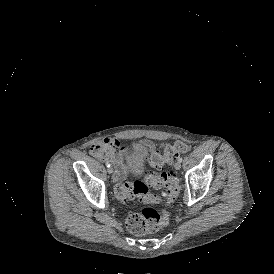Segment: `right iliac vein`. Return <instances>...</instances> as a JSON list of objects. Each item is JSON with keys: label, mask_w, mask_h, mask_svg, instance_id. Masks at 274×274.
I'll use <instances>...</instances> for the list:
<instances>
[{"label": "right iliac vein", "mask_w": 274, "mask_h": 274, "mask_svg": "<svg viewBox=\"0 0 274 274\" xmlns=\"http://www.w3.org/2000/svg\"><path fill=\"white\" fill-rule=\"evenodd\" d=\"M107 171L109 174H112L114 172V169L112 166H110V167H108Z\"/></svg>", "instance_id": "1"}]
</instances>
